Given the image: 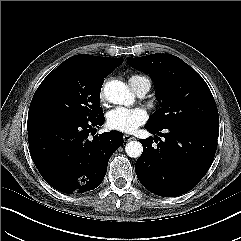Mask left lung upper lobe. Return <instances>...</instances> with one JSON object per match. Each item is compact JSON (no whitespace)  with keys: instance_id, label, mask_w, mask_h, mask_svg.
I'll use <instances>...</instances> for the list:
<instances>
[{"instance_id":"5c2ea615","label":"left lung upper lobe","mask_w":241,"mask_h":241,"mask_svg":"<svg viewBox=\"0 0 241 241\" xmlns=\"http://www.w3.org/2000/svg\"><path fill=\"white\" fill-rule=\"evenodd\" d=\"M130 66L149 73L156 85L159 108L146 126L164 128L172 124L219 125L218 110L204 79L187 63L171 54L127 58Z\"/></svg>"}]
</instances>
